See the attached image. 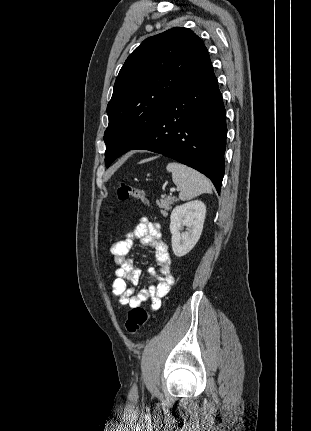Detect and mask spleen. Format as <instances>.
<instances>
[{
	"mask_svg": "<svg viewBox=\"0 0 311 431\" xmlns=\"http://www.w3.org/2000/svg\"><path fill=\"white\" fill-rule=\"evenodd\" d=\"M166 170L171 172L175 186L180 188L179 200H182V202L193 200L200 194H212V186L209 180L196 172V170L187 168L183 164H177V162L168 164Z\"/></svg>",
	"mask_w": 311,
	"mask_h": 431,
	"instance_id": "1",
	"label": "spleen"
}]
</instances>
